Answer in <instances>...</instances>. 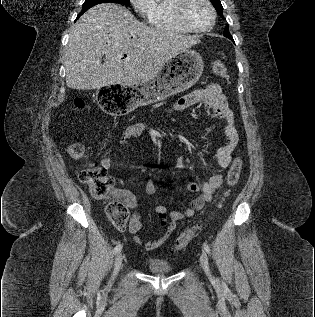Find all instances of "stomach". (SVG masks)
<instances>
[{
    "label": "stomach",
    "mask_w": 315,
    "mask_h": 317,
    "mask_svg": "<svg viewBox=\"0 0 315 317\" xmlns=\"http://www.w3.org/2000/svg\"><path fill=\"white\" fill-rule=\"evenodd\" d=\"M204 62L199 53L185 49L165 63L151 79L136 84H103L99 104L109 114H132L140 106L152 104L192 87L201 77Z\"/></svg>",
    "instance_id": "1"
}]
</instances>
